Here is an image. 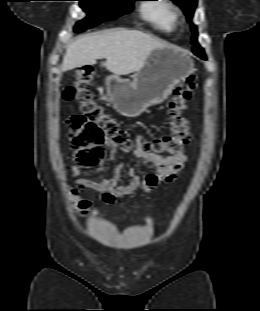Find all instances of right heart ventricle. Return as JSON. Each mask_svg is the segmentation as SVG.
Returning a JSON list of instances; mask_svg holds the SVG:
<instances>
[{"instance_id":"e07e8e85","label":"right heart ventricle","mask_w":260,"mask_h":311,"mask_svg":"<svg viewBox=\"0 0 260 311\" xmlns=\"http://www.w3.org/2000/svg\"><path fill=\"white\" fill-rule=\"evenodd\" d=\"M155 3L143 4L141 15L150 25L159 31L169 33L175 29L177 12L167 0H152Z\"/></svg>"}]
</instances>
